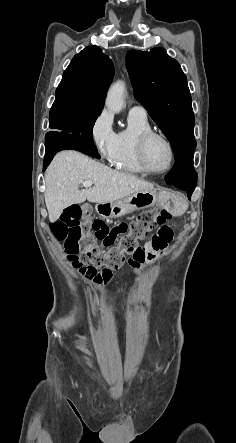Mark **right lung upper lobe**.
<instances>
[{
	"mask_svg": "<svg viewBox=\"0 0 236 443\" xmlns=\"http://www.w3.org/2000/svg\"><path fill=\"white\" fill-rule=\"evenodd\" d=\"M114 76V65L98 46H88L76 54L56 89L55 105L102 110Z\"/></svg>",
	"mask_w": 236,
	"mask_h": 443,
	"instance_id": "obj_1",
	"label": "right lung upper lobe"
}]
</instances>
